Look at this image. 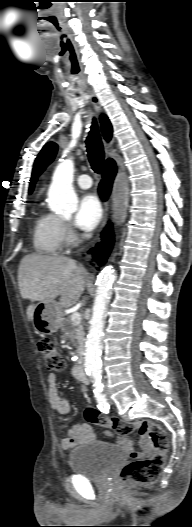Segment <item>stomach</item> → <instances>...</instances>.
<instances>
[{
  "label": "stomach",
  "instance_id": "1",
  "mask_svg": "<svg viewBox=\"0 0 192 527\" xmlns=\"http://www.w3.org/2000/svg\"><path fill=\"white\" fill-rule=\"evenodd\" d=\"M61 323L62 311L57 302L49 300L37 303L33 315V324L38 333L52 334L59 329Z\"/></svg>",
  "mask_w": 192,
  "mask_h": 527
}]
</instances>
